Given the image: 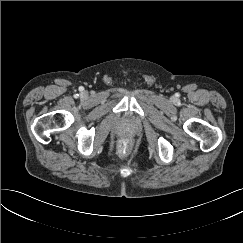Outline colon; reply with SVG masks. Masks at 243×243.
<instances>
[{"label":"colon","mask_w":243,"mask_h":243,"mask_svg":"<svg viewBox=\"0 0 243 243\" xmlns=\"http://www.w3.org/2000/svg\"><path fill=\"white\" fill-rule=\"evenodd\" d=\"M132 143L130 140L124 139L119 143V152L123 155L127 154L131 149Z\"/></svg>","instance_id":"5ec220e1"}]
</instances>
